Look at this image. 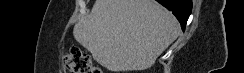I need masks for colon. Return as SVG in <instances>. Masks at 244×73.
Instances as JSON below:
<instances>
[{
	"label": "colon",
	"instance_id": "obj_1",
	"mask_svg": "<svg viewBox=\"0 0 244 73\" xmlns=\"http://www.w3.org/2000/svg\"><path fill=\"white\" fill-rule=\"evenodd\" d=\"M62 65L65 73H102L101 69L93 64L91 57L78 48L64 54Z\"/></svg>",
	"mask_w": 244,
	"mask_h": 73
}]
</instances>
